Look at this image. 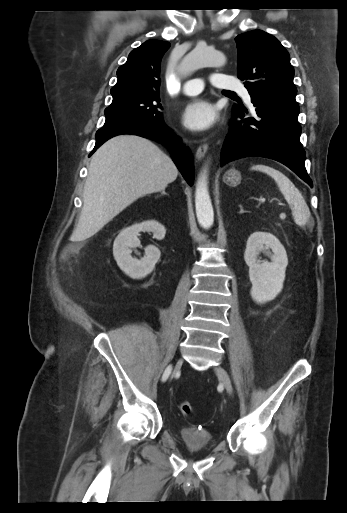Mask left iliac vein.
<instances>
[{"instance_id": "obj_1", "label": "left iliac vein", "mask_w": 347, "mask_h": 513, "mask_svg": "<svg viewBox=\"0 0 347 513\" xmlns=\"http://www.w3.org/2000/svg\"><path fill=\"white\" fill-rule=\"evenodd\" d=\"M214 371H215L216 375L218 376V378L221 380L222 384L224 385L227 393L230 396H233L232 382H231V379H230L228 373L226 372V370L224 368H222L221 366H216L214 368Z\"/></svg>"}]
</instances>
